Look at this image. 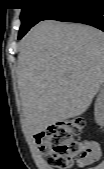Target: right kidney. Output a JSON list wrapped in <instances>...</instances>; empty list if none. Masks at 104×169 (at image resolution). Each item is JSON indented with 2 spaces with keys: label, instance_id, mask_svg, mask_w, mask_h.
Listing matches in <instances>:
<instances>
[{
  "label": "right kidney",
  "instance_id": "ca27d5eb",
  "mask_svg": "<svg viewBox=\"0 0 104 169\" xmlns=\"http://www.w3.org/2000/svg\"><path fill=\"white\" fill-rule=\"evenodd\" d=\"M95 121L97 124L102 125L104 123V90L101 89L95 102L94 109Z\"/></svg>",
  "mask_w": 104,
  "mask_h": 169
}]
</instances>
